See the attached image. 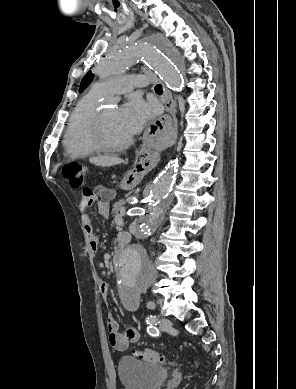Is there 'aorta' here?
<instances>
[{
	"label": "aorta",
	"instance_id": "762f6f07",
	"mask_svg": "<svg viewBox=\"0 0 296 389\" xmlns=\"http://www.w3.org/2000/svg\"><path fill=\"white\" fill-rule=\"evenodd\" d=\"M135 62H141L143 66H152L171 89L182 90L183 62L178 51L165 38L148 39L121 46L99 62L96 73L101 79L106 80L122 75ZM177 167L176 161L169 163L154 180L136 239L121 254L118 281L124 291L138 294L147 290L153 283L155 268L143 242L160 225L171 203Z\"/></svg>",
	"mask_w": 296,
	"mask_h": 389
}]
</instances>
